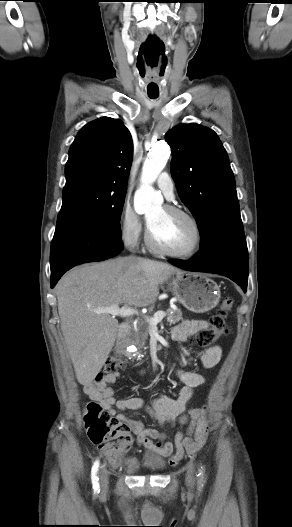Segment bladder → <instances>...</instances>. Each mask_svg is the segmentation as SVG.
Masks as SVG:
<instances>
[{"label":"bladder","instance_id":"bladder-1","mask_svg":"<svg viewBox=\"0 0 292 527\" xmlns=\"http://www.w3.org/2000/svg\"><path fill=\"white\" fill-rule=\"evenodd\" d=\"M143 465L151 471H161L165 468L166 462L155 453H147L143 458Z\"/></svg>","mask_w":292,"mask_h":527}]
</instances>
